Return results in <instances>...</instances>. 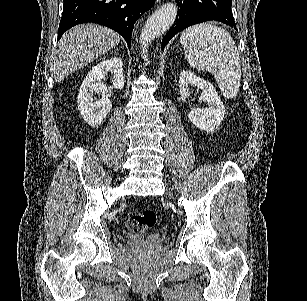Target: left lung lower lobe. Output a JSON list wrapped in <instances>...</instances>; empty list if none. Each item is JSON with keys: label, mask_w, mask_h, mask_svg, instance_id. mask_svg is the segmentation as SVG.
<instances>
[{"label": "left lung lower lobe", "mask_w": 307, "mask_h": 301, "mask_svg": "<svg viewBox=\"0 0 307 301\" xmlns=\"http://www.w3.org/2000/svg\"><path fill=\"white\" fill-rule=\"evenodd\" d=\"M175 2L179 10L174 24L162 40V50L175 34L197 23L218 20L237 30L231 10L232 0H175Z\"/></svg>", "instance_id": "left-lung-lower-lobe-1"}]
</instances>
